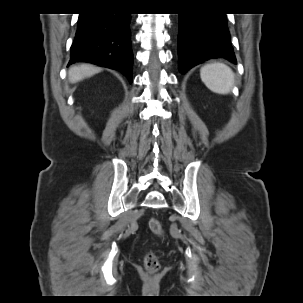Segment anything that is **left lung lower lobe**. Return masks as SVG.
Returning <instances> with one entry per match:
<instances>
[{
    "instance_id": "obj_1",
    "label": "left lung lower lobe",
    "mask_w": 303,
    "mask_h": 303,
    "mask_svg": "<svg viewBox=\"0 0 303 303\" xmlns=\"http://www.w3.org/2000/svg\"><path fill=\"white\" fill-rule=\"evenodd\" d=\"M212 58H224L236 64L224 13L179 14L178 67L186 73Z\"/></svg>"
}]
</instances>
